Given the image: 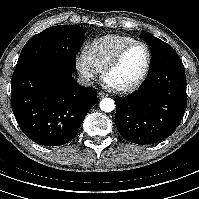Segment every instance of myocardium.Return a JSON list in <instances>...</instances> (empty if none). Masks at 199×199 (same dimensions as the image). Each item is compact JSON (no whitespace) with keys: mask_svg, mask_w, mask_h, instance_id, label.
Wrapping results in <instances>:
<instances>
[{"mask_svg":"<svg viewBox=\"0 0 199 199\" xmlns=\"http://www.w3.org/2000/svg\"><path fill=\"white\" fill-rule=\"evenodd\" d=\"M136 45H141L144 47V49L146 50L147 53V62H146V66L143 70V72L141 73V75L138 77V79L136 81H134L133 83L129 84V85H125V86H121V87H115V86H111L106 82L107 76L108 74L113 71L122 61L123 57L125 56V54L129 51V49H131L133 46ZM152 66V52L150 47L142 41H133L127 45H125L123 48H121L118 53L114 56V58L106 65V67L103 69L102 72V77L104 82L109 86V88L111 90H113L114 92L117 93H130L133 92L135 90H137L146 80L150 69Z\"/></svg>","mask_w":199,"mask_h":199,"instance_id":"obj_1","label":"myocardium"}]
</instances>
